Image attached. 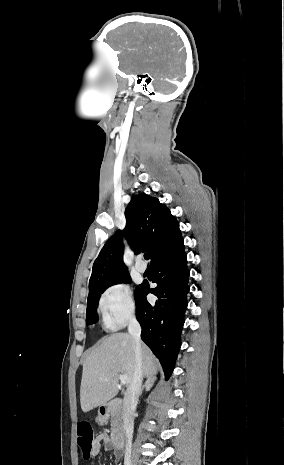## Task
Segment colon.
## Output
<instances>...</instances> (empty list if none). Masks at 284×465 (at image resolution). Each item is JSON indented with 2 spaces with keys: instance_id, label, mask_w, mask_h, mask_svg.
I'll list each match as a JSON object with an SVG mask.
<instances>
[{
  "instance_id": "1",
  "label": "colon",
  "mask_w": 284,
  "mask_h": 465,
  "mask_svg": "<svg viewBox=\"0 0 284 465\" xmlns=\"http://www.w3.org/2000/svg\"><path fill=\"white\" fill-rule=\"evenodd\" d=\"M81 457L83 460L91 458L92 447L95 441V435L92 425L89 422H82L78 424L77 428Z\"/></svg>"
}]
</instances>
